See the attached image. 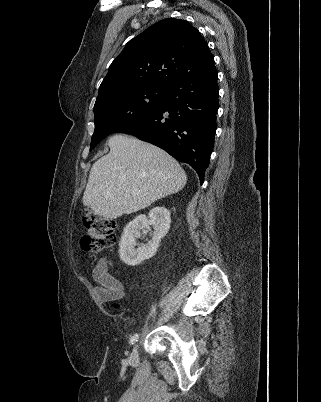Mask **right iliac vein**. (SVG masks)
I'll use <instances>...</instances> for the list:
<instances>
[{
	"instance_id": "1",
	"label": "right iliac vein",
	"mask_w": 321,
	"mask_h": 402,
	"mask_svg": "<svg viewBox=\"0 0 321 402\" xmlns=\"http://www.w3.org/2000/svg\"><path fill=\"white\" fill-rule=\"evenodd\" d=\"M138 356H139V353H138V345H135V346L133 347V349H132L131 354H130V361H131L132 363L137 362Z\"/></svg>"
}]
</instances>
